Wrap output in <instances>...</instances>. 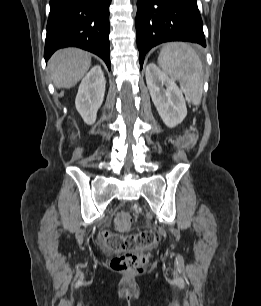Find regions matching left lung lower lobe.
Segmentation results:
<instances>
[{
	"instance_id": "0a47b994",
	"label": "left lung lower lobe",
	"mask_w": 261,
	"mask_h": 306,
	"mask_svg": "<svg viewBox=\"0 0 261 306\" xmlns=\"http://www.w3.org/2000/svg\"><path fill=\"white\" fill-rule=\"evenodd\" d=\"M137 46L142 69L145 54L169 41H189L203 47L206 41L197 0H138Z\"/></svg>"
}]
</instances>
